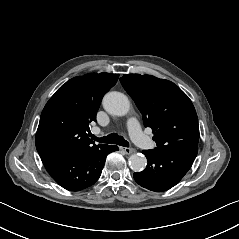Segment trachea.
I'll return each mask as SVG.
<instances>
[{"label": "trachea", "mask_w": 239, "mask_h": 239, "mask_svg": "<svg viewBox=\"0 0 239 239\" xmlns=\"http://www.w3.org/2000/svg\"><path fill=\"white\" fill-rule=\"evenodd\" d=\"M90 137L99 143L117 144L123 147H129V143L117 133H112L106 137H101V138H97L95 135L90 134Z\"/></svg>", "instance_id": "trachea-1"}]
</instances>
